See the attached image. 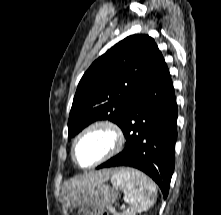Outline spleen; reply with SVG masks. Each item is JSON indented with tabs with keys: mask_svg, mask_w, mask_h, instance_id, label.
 Masks as SVG:
<instances>
[{
	"mask_svg": "<svg viewBox=\"0 0 221 215\" xmlns=\"http://www.w3.org/2000/svg\"><path fill=\"white\" fill-rule=\"evenodd\" d=\"M111 182L124 192L134 211L144 212L155 202V183L139 171L122 170L113 175Z\"/></svg>",
	"mask_w": 221,
	"mask_h": 215,
	"instance_id": "spleen-1",
	"label": "spleen"
}]
</instances>
